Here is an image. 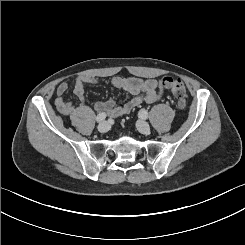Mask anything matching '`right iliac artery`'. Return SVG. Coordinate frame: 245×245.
Here are the masks:
<instances>
[{
	"mask_svg": "<svg viewBox=\"0 0 245 245\" xmlns=\"http://www.w3.org/2000/svg\"><path fill=\"white\" fill-rule=\"evenodd\" d=\"M105 119H106V114L104 112L99 113L96 117L97 122H103Z\"/></svg>",
	"mask_w": 245,
	"mask_h": 245,
	"instance_id": "82829eb1",
	"label": "right iliac artery"
}]
</instances>
